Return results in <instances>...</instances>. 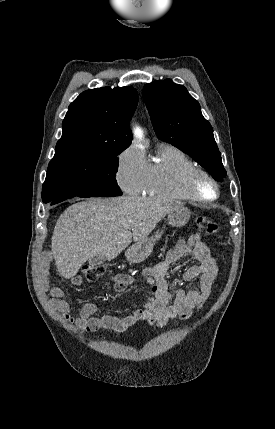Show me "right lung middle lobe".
Masks as SVG:
<instances>
[{
    "label": "right lung middle lobe",
    "instance_id": "dd1d6c3e",
    "mask_svg": "<svg viewBox=\"0 0 275 429\" xmlns=\"http://www.w3.org/2000/svg\"><path fill=\"white\" fill-rule=\"evenodd\" d=\"M118 151L65 152L55 154L42 189L44 203L62 196H120L115 175Z\"/></svg>",
    "mask_w": 275,
    "mask_h": 429
}]
</instances>
